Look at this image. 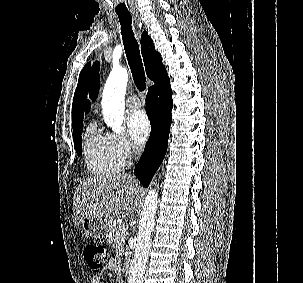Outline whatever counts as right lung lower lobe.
<instances>
[{"mask_svg":"<svg viewBox=\"0 0 303 283\" xmlns=\"http://www.w3.org/2000/svg\"><path fill=\"white\" fill-rule=\"evenodd\" d=\"M173 107L169 78L148 89L146 109L150 119L151 133L144 152L135 167V175L144 187L152 177L166 154Z\"/></svg>","mask_w":303,"mask_h":283,"instance_id":"right-lung-lower-lobe-1","label":"right lung lower lobe"}]
</instances>
